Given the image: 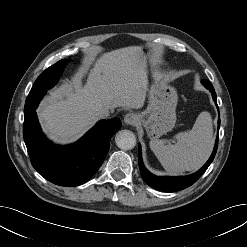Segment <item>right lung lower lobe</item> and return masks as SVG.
Wrapping results in <instances>:
<instances>
[{
    "label": "right lung lower lobe",
    "mask_w": 247,
    "mask_h": 247,
    "mask_svg": "<svg viewBox=\"0 0 247 247\" xmlns=\"http://www.w3.org/2000/svg\"><path fill=\"white\" fill-rule=\"evenodd\" d=\"M42 96L27 97L24 107V141L33 167L48 181L66 187L87 182L102 165L111 137L120 129L117 118L99 121L81 140L52 145L41 132L35 109Z\"/></svg>",
    "instance_id": "98d812e1"
}]
</instances>
